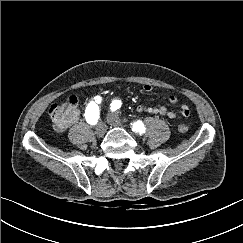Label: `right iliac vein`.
Segmentation results:
<instances>
[{"instance_id": "63e3f726", "label": "right iliac vein", "mask_w": 243, "mask_h": 243, "mask_svg": "<svg viewBox=\"0 0 243 243\" xmlns=\"http://www.w3.org/2000/svg\"><path fill=\"white\" fill-rule=\"evenodd\" d=\"M106 130H107V127H106V124L104 122H99L98 125L96 126V129H95V134L98 136V137H103L106 133Z\"/></svg>"}]
</instances>
